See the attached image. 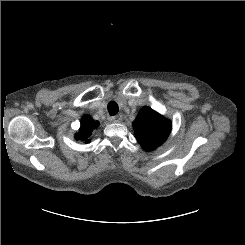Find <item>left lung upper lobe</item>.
Returning a JSON list of instances; mask_svg holds the SVG:
<instances>
[{
    "label": "left lung upper lobe",
    "instance_id": "left-lung-upper-lobe-1",
    "mask_svg": "<svg viewBox=\"0 0 245 245\" xmlns=\"http://www.w3.org/2000/svg\"><path fill=\"white\" fill-rule=\"evenodd\" d=\"M135 137L143 149L161 145L171 131V122L149 107H143L133 122Z\"/></svg>",
    "mask_w": 245,
    "mask_h": 245
}]
</instances>
